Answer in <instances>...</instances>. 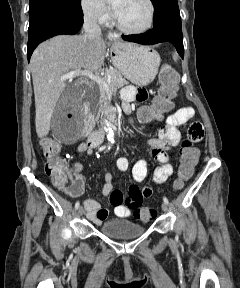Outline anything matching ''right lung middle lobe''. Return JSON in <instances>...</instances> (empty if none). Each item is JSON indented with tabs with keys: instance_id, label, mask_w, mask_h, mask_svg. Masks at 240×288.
Listing matches in <instances>:
<instances>
[{
	"instance_id": "1",
	"label": "right lung middle lobe",
	"mask_w": 240,
	"mask_h": 288,
	"mask_svg": "<svg viewBox=\"0 0 240 288\" xmlns=\"http://www.w3.org/2000/svg\"><path fill=\"white\" fill-rule=\"evenodd\" d=\"M29 30L40 21L55 15L83 16L81 0H30Z\"/></svg>"
}]
</instances>
